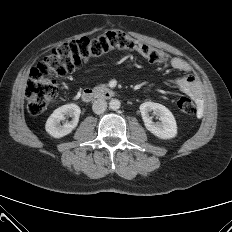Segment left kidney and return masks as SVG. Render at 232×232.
Instances as JSON below:
<instances>
[{
    "label": "left kidney",
    "instance_id": "obj_1",
    "mask_svg": "<svg viewBox=\"0 0 232 232\" xmlns=\"http://www.w3.org/2000/svg\"><path fill=\"white\" fill-rule=\"evenodd\" d=\"M154 111L160 123H154L149 112ZM140 112L144 125L148 131L160 139H171L177 135V124L172 112L159 103L145 102L140 105Z\"/></svg>",
    "mask_w": 232,
    "mask_h": 232
}]
</instances>
